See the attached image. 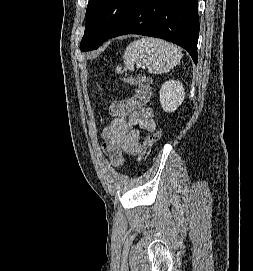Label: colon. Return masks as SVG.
<instances>
[{
  "instance_id": "5ec220e1",
  "label": "colon",
  "mask_w": 253,
  "mask_h": 271,
  "mask_svg": "<svg viewBox=\"0 0 253 271\" xmlns=\"http://www.w3.org/2000/svg\"><path fill=\"white\" fill-rule=\"evenodd\" d=\"M134 83L142 87L150 86L149 80L144 79V78H137L134 80ZM160 136H161L160 130H156L147 135L145 139L144 150L141 154L142 159L146 158L151 153L155 145L158 143Z\"/></svg>"
}]
</instances>
